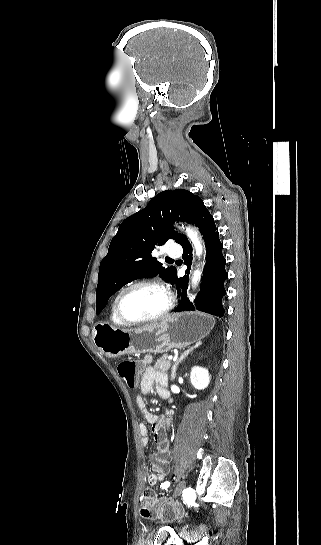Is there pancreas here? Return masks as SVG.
I'll return each mask as SVG.
<instances>
[{"mask_svg": "<svg viewBox=\"0 0 321 545\" xmlns=\"http://www.w3.org/2000/svg\"><path fill=\"white\" fill-rule=\"evenodd\" d=\"M170 361H167L166 357H161V359H158V361H156V365H155V369H157V371H161V373H167V371H169L170 369Z\"/></svg>", "mask_w": 321, "mask_h": 545, "instance_id": "1", "label": "pancreas"}]
</instances>
